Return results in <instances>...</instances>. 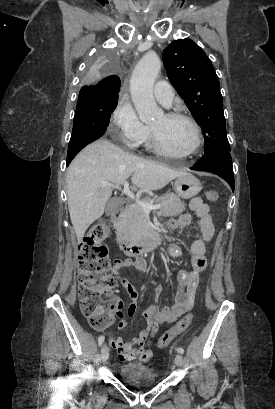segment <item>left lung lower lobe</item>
Returning a JSON list of instances; mask_svg holds the SVG:
<instances>
[{"mask_svg":"<svg viewBox=\"0 0 275 409\" xmlns=\"http://www.w3.org/2000/svg\"><path fill=\"white\" fill-rule=\"evenodd\" d=\"M192 170L212 172L225 179L234 191V175L229 149H219L209 155H204Z\"/></svg>","mask_w":275,"mask_h":409,"instance_id":"left-lung-lower-lobe-1","label":"left lung lower lobe"}]
</instances>
